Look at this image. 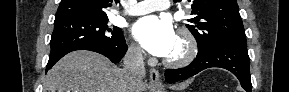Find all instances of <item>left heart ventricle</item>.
Masks as SVG:
<instances>
[{"instance_id":"left-heart-ventricle-1","label":"left heart ventricle","mask_w":289,"mask_h":92,"mask_svg":"<svg viewBox=\"0 0 289 92\" xmlns=\"http://www.w3.org/2000/svg\"><path fill=\"white\" fill-rule=\"evenodd\" d=\"M183 51H184V46L182 42L177 38L173 50L167 57L169 58L178 57L183 53Z\"/></svg>"}]
</instances>
